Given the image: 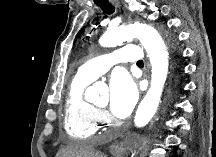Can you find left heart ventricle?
I'll use <instances>...</instances> for the list:
<instances>
[{
	"label": "left heart ventricle",
	"instance_id": "left-heart-ventricle-1",
	"mask_svg": "<svg viewBox=\"0 0 216 157\" xmlns=\"http://www.w3.org/2000/svg\"><path fill=\"white\" fill-rule=\"evenodd\" d=\"M106 101H107V95H104L99 101H98V105H100V106H104L105 105V103H106Z\"/></svg>",
	"mask_w": 216,
	"mask_h": 157
}]
</instances>
